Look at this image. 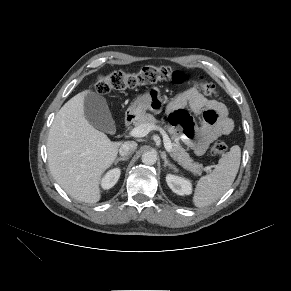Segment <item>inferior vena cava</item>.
<instances>
[{
	"mask_svg": "<svg viewBox=\"0 0 291 291\" xmlns=\"http://www.w3.org/2000/svg\"><path fill=\"white\" fill-rule=\"evenodd\" d=\"M137 149V143L134 141H126L124 142L120 149L119 153L121 156H130L134 153V151Z\"/></svg>",
	"mask_w": 291,
	"mask_h": 291,
	"instance_id": "602c4592",
	"label": "inferior vena cava"
}]
</instances>
